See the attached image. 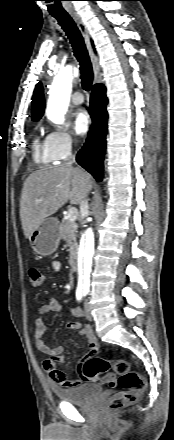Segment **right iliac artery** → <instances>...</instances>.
Returning <instances> with one entry per match:
<instances>
[{
  "mask_svg": "<svg viewBox=\"0 0 174 440\" xmlns=\"http://www.w3.org/2000/svg\"><path fill=\"white\" fill-rule=\"evenodd\" d=\"M83 296H84V293H82V292H77L76 293V298H77L78 301H81Z\"/></svg>",
  "mask_w": 174,
  "mask_h": 440,
  "instance_id": "1",
  "label": "right iliac artery"
}]
</instances>
